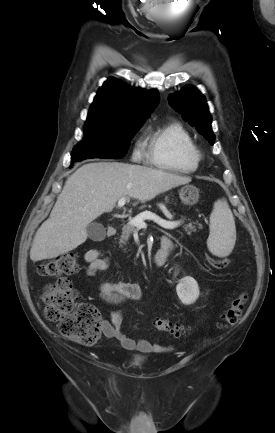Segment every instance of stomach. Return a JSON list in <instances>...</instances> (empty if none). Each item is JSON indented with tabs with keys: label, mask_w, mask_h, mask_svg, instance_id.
Segmentation results:
<instances>
[{
	"label": "stomach",
	"mask_w": 275,
	"mask_h": 433,
	"mask_svg": "<svg viewBox=\"0 0 275 433\" xmlns=\"http://www.w3.org/2000/svg\"><path fill=\"white\" fill-rule=\"evenodd\" d=\"M179 197L185 205L192 206L198 202L199 190L193 185L183 186L179 191Z\"/></svg>",
	"instance_id": "0dacf381"
}]
</instances>
